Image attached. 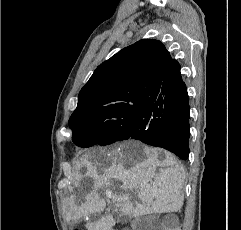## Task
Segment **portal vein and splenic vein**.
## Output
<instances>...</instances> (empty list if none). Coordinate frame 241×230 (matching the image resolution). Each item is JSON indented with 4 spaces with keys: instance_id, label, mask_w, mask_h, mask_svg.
I'll return each mask as SVG.
<instances>
[{
    "instance_id": "portal-vein-and-splenic-vein-1",
    "label": "portal vein and splenic vein",
    "mask_w": 241,
    "mask_h": 230,
    "mask_svg": "<svg viewBox=\"0 0 241 230\" xmlns=\"http://www.w3.org/2000/svg\"><path fill=\"white\" fill-rule=\"evenodd\" d=\"M107 197L112 198V193L111 192H106Z\"/></svg>"
}]
</instances>
